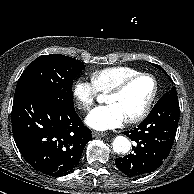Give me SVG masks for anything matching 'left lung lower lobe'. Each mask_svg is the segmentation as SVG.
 Segmentation results:
<instances>
[{
	"mask_svg": "<svg viewBox=\"0 0 194 194\" xmlns=\"http://www.w3.org/2000/svg\"><path fill=\"white\" fill-rule=\"evenodd\" d=\"M179 114L178 96H163L141 124L123 132L137 144L132 147V153L116 159L119 170L129 177H137L160 167L172 149Z\"/></svg>",
	"mask_w": 194,
	"mask_h": 194,
	"instance_id": "left-lung-lower-lobe-1",
	"label": "left lung lower lobe"
}]
</instances>
